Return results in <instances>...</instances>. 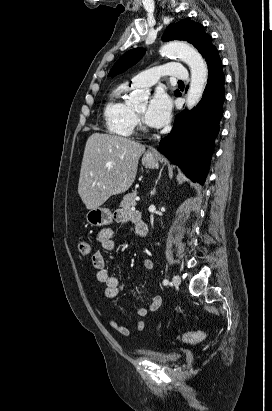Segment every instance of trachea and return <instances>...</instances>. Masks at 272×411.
Wrapping results in <instances>:
<instances>
[{"label": "trachea", "instance_id": "1", "mask_svg": "<svg viewBox=\"0 0 272 411\" xmlns=\"http://www.w3.org/2000/svg\"><path fill=\"white\" fill-rule=\"evenodd\" d=\"M178 83L183 84V81L179 80Z\"/></svg>", "mask_w": 272, "mask_h": 411}]
</instances>
